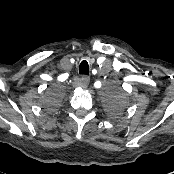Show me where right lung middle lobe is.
Masks as SVG:
<instances>
[{"mask_svg": "<svg viewBox=\"0 0 174 174\" xmlns=\"http://www.w3.org/2000/svg\"><path fill=\"white\" fill-rule=\"evenodd\" d=\"M61 101V97L59 95H49L45 99L43 106L48 110H54L58 108Z\"/></svg>", "mask_w": 174, "mask_h": 174, "instance_id": "right-lung-middle-lobe-1", "label": "right lung middle lobe"}]
</instances>
